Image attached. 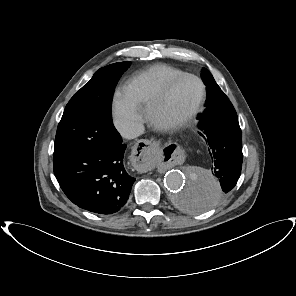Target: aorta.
I'll return each instance as SVG.
<instances>
[{
	"instance_id": "obj_1",
	"label": "aorta",
	"mask_w": 296,
	"mask_h": 296,
	"mask_svg": "<svg viewBox=\"0 0 296 296\" xmlns=\"http://www.w3.org/2000/svg\"><path fill=\"white\" fill-rule=\"evenodd\" d=\"M164 183L171 206L185 214L207 212L219 198L220 184L205 169L183 167L169 171Z\"/></svg>"
}]
</instances>
